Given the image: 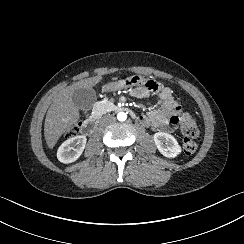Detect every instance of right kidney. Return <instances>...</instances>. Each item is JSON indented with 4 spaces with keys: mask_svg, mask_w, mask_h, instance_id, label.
Wrapping results in <instances>:
<instances>
[{
    "mask_svg": "<svg viewBox=\"0 0 244 244\" xmlns=\"http://www.w3.org/2000/svg\"><path fill=\"white\" fill-rule=\"evenodd\" d=\"M86 136L78 135L64 141L57 151L60 162L68 164L76 161L82 154L86 145Z\"/></svg>",
    "mask_w": 244,
    "mask_h": 244,
    "instance_id": "obj_1",
    "label": "right kidney"
}]
</instances>
